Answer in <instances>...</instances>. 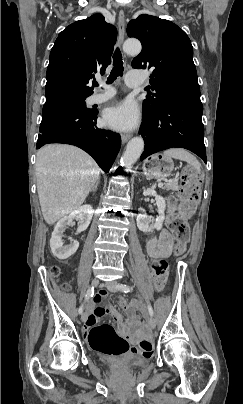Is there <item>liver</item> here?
Returning <instances> with one entry per match:
<instances>
[{"label":"liver","mask_w":243,"mask_h":404,"mask_svg":"<svg viewBox=\"0 0 243 404\" xmlns=\"http://www.w3.org/2000/svg\"><path fill=\"white\" fill-rule=\"evenodd\" d=\"M35 166L38 198L47 224L78 210L101 172L91 156L66 144H49L38 150Z\"/></svg>","instance_id":"6515ba94"}]
</instances>
